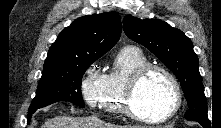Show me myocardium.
<instances>
[{"mask_svg":"<svg viewBox=\"0 0 221 128\" xmlns=\"http://www.w3.org/2000/svg\"><path fill=\"white\" fill-rule=\"evenodd\" d=\"M156 71L163 73L167 77L173 92V102L163 114L158 116H148L138 111L135 106V98L141 83L147 76ZM181 100L180 86L175 76L167 68L161 65L146 64L137 69L129 79L125 91L124 109L126 114L134 120L144 123L157 124L172 118L180 109Z\"/></svg>","mask_w":221,"mask_h":128,"instance_id":"f54148a6","label":"myocardium"}]
</instances>
